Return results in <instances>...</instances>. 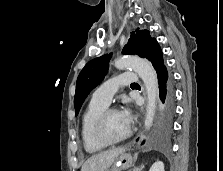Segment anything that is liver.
Listing matches in <instances>:
<instances>
[{"mask_svg": "<svg viewBox=\"0 0 223 171\" xmlns=\"http://www.w3.org/2000/svg\"><path fill=\"white\" fill-rule=\"evenodd\" d=\"M124 151L125 149L120 147L93 155L86 160L81 171H106Z\"/></svg>", "mask_w": 223, "mask_h": 171, "instance_id": "6515ba94", "label": "liver"}]
</instances>
